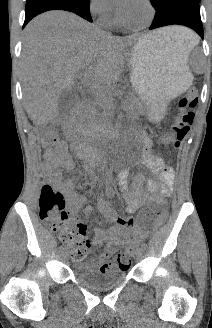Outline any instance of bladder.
Listing matches in <instances>:
<instances>
[{"label": "bladder", "instance_id": "1", "mask_svg": "<svg viewBox=\"0 0 212 328\" xmlns=\"http://www.w3.org/2000/svg\"><path fill=\"white\" fill-rule=\"evenodd\" d=\"M72 271L80 283L95 291L112 289L120 285L127 275L126 271L118 269L102 273L92 267L90 260H76L72 265Z\"/></svg>", "mask_w": 212, "mask_h": 328}]
</instances>
